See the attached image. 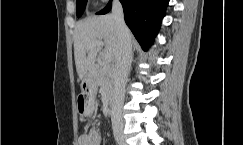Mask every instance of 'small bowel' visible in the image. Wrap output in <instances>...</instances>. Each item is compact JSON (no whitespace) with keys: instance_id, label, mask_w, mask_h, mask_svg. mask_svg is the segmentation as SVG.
Segmentation results:
<instances>
[{"instance_id":"1","label":"small bowel","mask_w":243,"mask_h":145,"mask_svg":"<svg viewBox=\"0 0 243 145\" xmlns=\"http://www.w3.org/2000/svg\"><path fill=\"white\" fill-rule=\"evenodd\" d=\"M101 136L95 129H90L88 132L79 136V145H100Z\"/></svg>"}]
</instances>
